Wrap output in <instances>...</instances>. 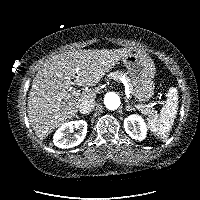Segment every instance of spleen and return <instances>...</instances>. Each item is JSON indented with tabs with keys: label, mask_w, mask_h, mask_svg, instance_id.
Here are the masks:
<instances>
[{
	"label": "spleen",
	"mask_w": 200,
	"mask_h": 200,
	"mask_svg": "<svg viewBox=\"0 0 200 200\" xmlns=\"http://www.w3.org/2000/svg\"><path fill=\"white\" fill-rule=\"evenodd\" d=\"M178 110V91L171 87L167 94L166 104L162 107L160 116L148 119L150 131L158 138L165 139L170 134Z\"/></svg>",
	"instance_id": "3e777b00"
}]
</instances>
